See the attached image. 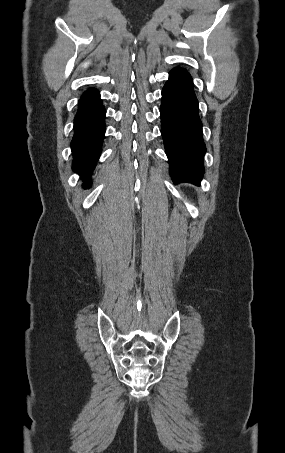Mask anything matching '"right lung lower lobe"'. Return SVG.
I'll return each instance as SVG.
<instances>
[{"instance_id": "right-lung-lower-lobe-1", "label": "right lung lower lobe", "mask_w": 285, "mask_h": 453, "mask_svg": "<svg viewBox=\"0 0 285 453\" xmlns=\"http://www.w3.org/2000/svg\"><path fill=\"white\" fill-rule=\"evenodd\" d=\"M105 108L97 89L89 88L81 96L74 118V136L71 141L72 169L90 186V173L101 154L105 134Z\"/></svg>"}]
</instances>
